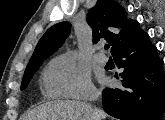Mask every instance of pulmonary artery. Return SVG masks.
<instances>
[{"instance_id":"1","label":"pulmonary artery","mask_w":165,"mask_h":120,"mask_svg":"<svg viewBox=\"0 0 165 120\" xmlns=\"http://www.w3.org/2000/svg\"><path fill=\"white\" fill-rule=\"evenodd\" d=\"M94 59L98 64H101V65H104L108 62L107 56L102 52L97 53Z\"/></svg>"}]
</instances>
